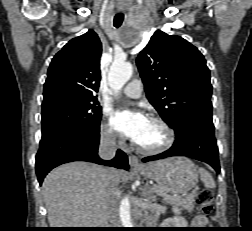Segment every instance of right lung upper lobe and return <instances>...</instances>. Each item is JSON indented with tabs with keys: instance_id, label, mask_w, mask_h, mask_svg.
I'll list each match as a JSON object with an SVG mask.
<instances>
[{
	"instance_id": "cb5924a9",
	"label": "right lung upper lobe",
	"mask_w": 252,
	"mask_h": 231,
	"mask_svg": "<svg viewBox=\"0 0 252 231\" xmlns=\"http://www.w3.org/2000/svg\"><path fill=\"white\" fill-rule=\"evenodd\" d=\"M101 52L102 44L93 30L70 40L52 59L44 99L59 94L96 99Z\"/></svg>"
}]
</instances>
